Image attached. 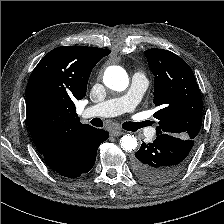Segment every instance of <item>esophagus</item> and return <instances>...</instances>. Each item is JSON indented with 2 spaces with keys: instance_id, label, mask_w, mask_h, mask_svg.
<instances>
[{
  "instance_id": "obj_1",
  "label": "esophagus",
  "mask_w": 224,
  "mask_h": 224,
  "mask_svg": "<svg viewBox=\"0 0 224 224\" xmlns=\"http://www.w3.org/2000/svg\"><path fill=\"white\" fill-rule=\"evenodd\" d=\"M110 134H111L112 136H114V137H117V136H120V135L124 134V132H123L122 130H117V129H115V130H112V131L110 132Z\"/></svg>"
}]
</instances>
